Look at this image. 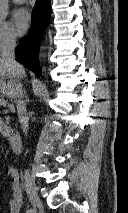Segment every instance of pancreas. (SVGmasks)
I'll list each match as a JSON object with an SVG mask.
<instances>
[{
    "label": "pancreas",
    "mask_w": 128,
    "mask_h": 213,
    "mask_svg": "<svg viewBox=\"0 0 128 213\" xmlns=\"http://www.w3.org/2000/svg\"><path fill=\"white\" fill-rule=\"evenodd\" d=\"M6 121L3 120V118H0V132L3 135H7L8 132V124H9V118H5Z\"/></svg>",
    "instance_id": "obj_1"
}]
</instances>
